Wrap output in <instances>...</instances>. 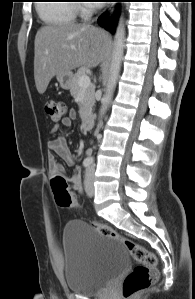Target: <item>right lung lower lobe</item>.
Returning <instances> with one entry per match:
<instances>
[{"mask_svg": "<svg viewBox=\"0 0 195 299\" xmlns=\"http://www.w3.org/2000/svg\"><path fill=\"white\" fill-rule=\"evenodd\" d=\"M117 18H118V14H115L114 16H113V18L111 19V24H110V29H111V31H113L114 32V30H115V26H116V23H117ZM106 16L105 15H102L99 19H98V23H99V25H101V26H104L105 25V22H106Z\"/></svg>", "mask_w": 195, "mask_h": 299, "instance_id": "right-lung-lower-lobe-1", "label": "right lung lower lobe"}]
</instances>
